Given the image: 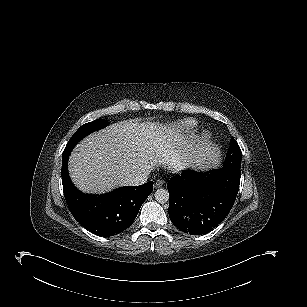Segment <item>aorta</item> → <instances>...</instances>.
<instances>
[{"label":"aorta","mask_w":307,"mask_h":307,"mask_svg":"<svg viewBox=\"0 0 307 307\" xmlns=\"http://www.w3.org/2000/svg\"><path fill=\"white\" fill-rule=\"evenodd\" d=\"M154 196L155 200L160 204L168 202L170 198L168 190L163 188L157 189Z\"/></svg>","instance_id":"1"}]
</instances>
